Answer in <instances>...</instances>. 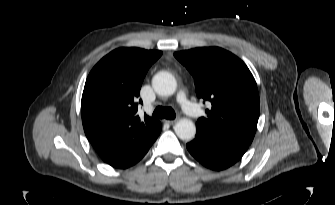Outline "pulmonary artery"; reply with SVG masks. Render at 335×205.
Segmentation results:
<instances>
[{
    "instance_id": "obj_1",
    "label": "pulmonary artery",
    "mask_w": 335,
    "mask_h": 205,
    "mask_svg": "<svg viewBox=\"0 0 335 205\" xmlns=\"http://www.w3.org/2000/svg\"><path fill=\"white\" fill-rule=\"evenodd\" d=\"M178 102L180 103L185 113H187L189 116L193 118H196L199 116L200 114L199 108L187 98L184 91H181L178 94Z\"/></svg>"
}]
</instances>
